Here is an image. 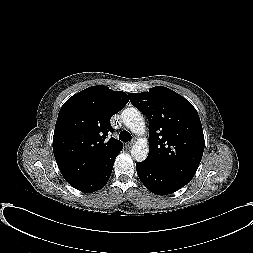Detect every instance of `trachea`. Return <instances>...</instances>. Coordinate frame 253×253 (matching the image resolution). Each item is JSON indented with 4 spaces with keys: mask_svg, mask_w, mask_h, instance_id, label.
I'll return each mask as SVG.
<instances>
[{
    "mask_svg": "<svg viewBox=\"0 0 253 253\" xmlns=\"http://www.w3.org/2000/svg\"><path fill=\"white\" fill-rule=\"evenodd\" d=\"M119 139L123 142H128L131 141L132 136L128 131H121V133L119 134Z\"/></svg>",
    "mask_w": 253,
    "mask_h": 253,
    "instance_id": "3493384b",
    "label": "trachea"
}]
</instances>
